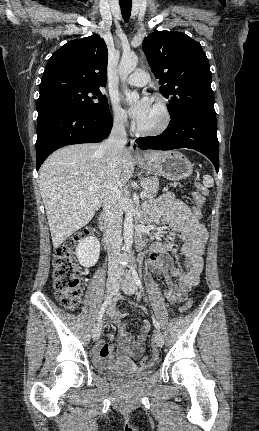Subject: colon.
<instances>
[{
  "label": "colon",
  "instance_id": "obj_1",
  "mask_svg": "<svg viewBox=\"0 0 259 431\" xmlns=\"http://www.w3.org/2000/svg\"><path fill=\"white\" fill-rule=\"evenodd\" d=\"M208 195V190L201 183H196V191L193 194L194 203L191 208L194 212L193 217L196 220L201 219L203 211L200 207L204 204ZM91 232L88 231L73 239H68L62 246L57 248L53 259V278L56 297L60 304L70 310L78 307L82 297V281L80 270L74 259V249L81 238L87 236ZM192 307V299H186L181 307V313H187ZM141 364L147 366L150 364V358L144 356L141 359Z\"/></svg>",
  "mask_w": 259,
  "mask_h": 431
}]
</instances>
